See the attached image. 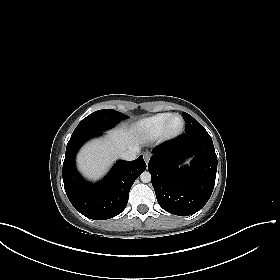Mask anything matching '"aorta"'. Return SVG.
I'll list each match as a JSON object with an SVG mask.
<instances>
[{
  "label": "aorta",
  "instance_id": "aorta-1",
  "mask_svg": "<svg viewBox=\"0 0 280 280\" xmlns=\"http://www.w3.org/2000/svg\"><path fill=\"white\" fill-rule=\"evenodd\" d=\"M140 179L143 183H149L151 181V174L145 171L140 175Z\"/></svg>",
  "mask_w": 280,
  "mask_h": 280
}]
</instances>
